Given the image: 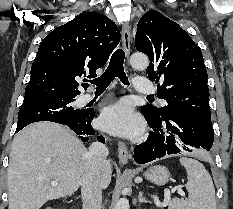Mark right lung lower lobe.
<instances>
[{
  "mask_svg": "<svg viewBox=\"0 0 233 209\" xmlns=\"http://www.w3.org/2000/svg\"><path fill=\"white\" fill-rule=\"evenodd\" d=\"M94 116H95V113L93 110H85L81 118L73 122L63 123V125L68 126L77 135H79L82 141L87 142L88 136L95 134L94 129L91 127V120L94 118ZM24 127L25 126H17L16 133L19 132ZM97 139L98 141L102 143L105 142V139L103 138V136H98Z\"/></svg>",
  "mask_w": 233,
  "mask_h": 209,
  "instance_id": "1",
  "label": "right lung lower lobe"
}]
</instances>
